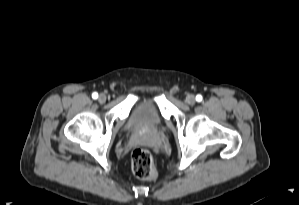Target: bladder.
Wrapping results in <instances>:
<instances>
[{"instance_id": "obj_1", "label": "bladder", "mask_w": 299, "mask_h": 205, "mask_svg": "<svg viewBox=\"0 0 299 205\" xmlns=\"http://www.w3.org/2000/svg\"><path fill=\"white\" fill-rule=\"evenodd\" d=\"M163 127V121L154 104L143 100L132 109L125 129L132 132H155Z\"/></svg>"}]
</instances>
